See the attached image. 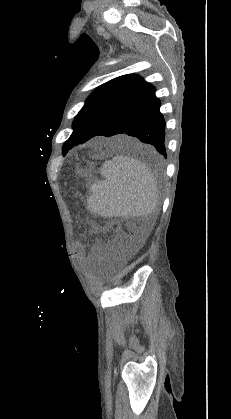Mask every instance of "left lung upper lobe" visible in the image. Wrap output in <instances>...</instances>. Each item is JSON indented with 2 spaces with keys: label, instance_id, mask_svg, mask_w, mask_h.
<instances>
[{
  "label": "left lung upper lobe",
  "instance_id": "5c2ea615",
  "mask_svg": "<svg viewBox=\"0 0 231 419\" xmlns=\"http://www.w3.org/2000/svg\"><path fill=\"white\" fill-rule=\"evenodd\" d=\"M143 82L134 74L123 75L99 86L87 99L73 121V133L63 146L66 154L80 144L90 131L116 106L126 100Z\"/></svg>",
  "mask_w": 231,
  "mask_h": 419
}]
</instances>
